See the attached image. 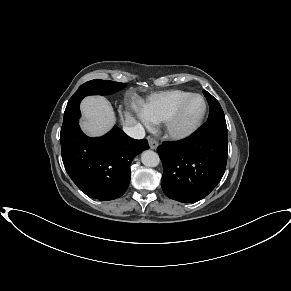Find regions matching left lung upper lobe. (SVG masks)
Returning a JSON list of instances; mask_svg holds the SVG:
<instances>
[{
    "label": "left lung upper lobe",
    "mask_w": 291,
    "mask_h": 291,
    "mask_svg": "<svg viewBox=\"0 0 291 291\" xmlns=\"http://www.w3.org/2000/svg\"><path fill=\"white\" fill-rule=\"evenodd\" d=\"M203 94L206 97L210 107V113L207 122L225 121L224 112L219 102L207 91L203 90Z\"/></svg>",
    "instance_id": "5c2ea615"
}]
</instances>
